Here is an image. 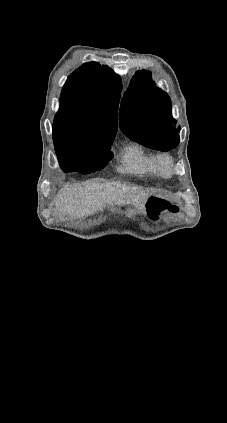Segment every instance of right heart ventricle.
<instances>
[{"mask_svg": "<svg viewBox=\"0 0 227 423\" xmlns=\"http://www.w3.org/2000/svg\"><path fill=\"white\" fill-rule=\"evenodd\" d=\"M159 156L137 143L129 144L122 153L119 170L132 175H161Z\"/></svg>", "mask_w": 227, "mask_h": 423, "instance_id": "right-heart-ventricle-1", "label": "right heart ventricle"}]
</instances>
